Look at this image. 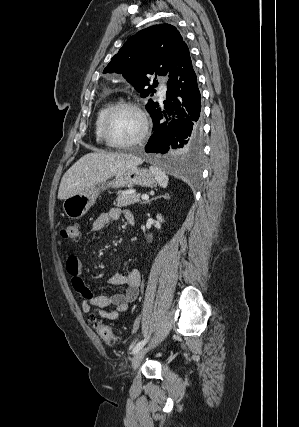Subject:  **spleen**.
Segmentation results:
<instances>
[{
    "label": "spleen",
    "instance_id": "3e777b00",
    "mask_svg": "<svg viewBox=\"0 0 299 427\" xmlns=\"http://www.w3.org/2000/svg\"><path fill=\"white\" fill-rule=\"evenodd\" d=\"M150 171L153 173V175L155 176L158 184L163 187L166 188L169 182V178L166 175V173L164 171H162L161 169L155 167V166H150Z\"/></svg>",
    "mask_w": 299,
    "mask_h": 427
}]
</instances>
